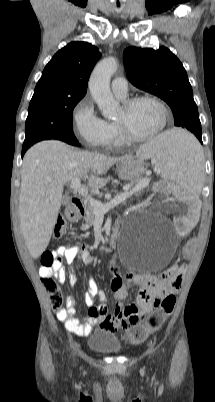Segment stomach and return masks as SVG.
<instances>
[{"label":"stomach","instance_id":"1","mask_svg":"<svg viewBox=\"0 0 215 402\" xmlns=\"http://www.w3.org/2000/svg\"><path fill=\"white\" fill-rule=\"evenodd\" d=\"M145 170V164L141 157L128 155L120 162L117 173L122 180L137 182L142 178Z\"/></svg>","mask_w":215,"mask_h":402}]
</instances>
